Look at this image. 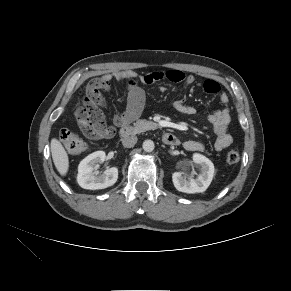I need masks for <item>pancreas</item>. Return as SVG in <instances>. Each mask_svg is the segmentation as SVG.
I'll return each instance as SVG.
<instances>
[{"instance_id":"obj_1","label":"pancreas","mask_w":291,"mask_h":291,"mask_svg":"<svg viewBox=\"0 0 291 291\" xmlns=\"http://www.w3.org/2000/svg\"><path fill=\"white\" fill-rule=\"evenodd\" d=\"M157 125L153 123L152 121L147 120H138L133 124L132 132L134 134H138L144 131H147L149 129H155Z\"/></svg>"}]
</instances>
